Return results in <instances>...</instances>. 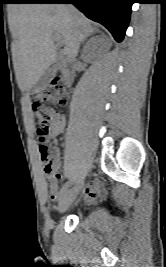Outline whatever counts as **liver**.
Instances as JSON below:
<instances>
[{"label":"liver","instance_id":"6515ba94","mask_svg":"<svg viewBox=\"0 0 166 267\" xmlns=\"http://www.w3.org/2000/svg\"><path fill=\"white\" fill-rule=\"evenodd\" d=\"M13 31L18 38L13 51L17 82L21 90H31L56 61L53 33L65 44L63 54L73 59L95 28L73 5L23 4L17 8Z\"/></svg>","mask_w":166,"mask_h":267}]
</instances>
